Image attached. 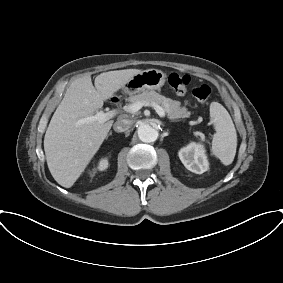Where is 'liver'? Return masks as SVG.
Returning a JSON list of instances; mask_svg holds the SVG:
<instances>
[{"label": "liver", "mask_w": 283, "mask_h": 283, "mask_svg": "<svg viewBox=\"0 0 283 283\" xmlns=\"http://www.w3.org/2000/svg\"><path fill=\"white\" fill-rule=\"evenodd\" d=\"M142 72L124 69L104 72L95 78L89 74L74 80L53 114L44 137L47 165L55 181L70 188L99 150L112 127L104 123H80L103 107L104 101Z\"/></svg>", "instance_id": "liver-1"}]
</instances>
